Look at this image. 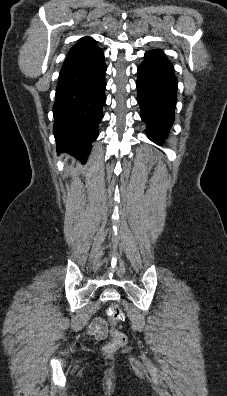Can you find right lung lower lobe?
Returning a JSON list of instances; mask_svg holds the SVG:
<instances>
[{"label": "right lung lower lobe", "mask_w": 227, "mask_h": 396, "mask_svg": "<svg viewBox=\"0 0 227 396\" xmlns=\"http://www.w3.org/2000/svg\"><path fill=\"white\" fill-rule=\"evenodd\" d=\"M106 65L95 41L75 44L58 78L53 133L59 152L85 160L103 118Z\"/></svg>", "instance_id": "1"}]
</instances>
